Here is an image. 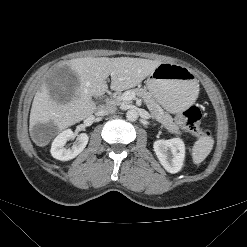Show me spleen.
<instances>
[{
  "mask_svg": "<svg viewBox=\"0 0 247 247\" xmlns=\"http://www.w3.org/2000/svg\"><path fill=\"white\" fill-rule=\"evenodd\" d=\"M214 140L210 136H201L192 149V159L195 164L205 160L213 148Z\"/></svg>",
  "mask_w": 247,
  "mask_h": 247,
  "instance_id": "obj_1",
  "label": "spleen"
}]
</instances>
